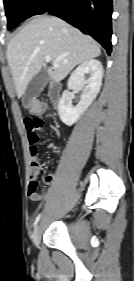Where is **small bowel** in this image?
Segmentation results:
<instances>
[{
  "instance_id": "c3829d8e",
  "label": "small bowel",
  "mask_w": 134,
  "mask_h": 281,
  "mask_svg": "<svg viewBox=\"0 0 134 281\" xmlns=\"http://www.w3.org/2000/svg\"><path fill=\"white\" fill-rule=\"evenodd\" d=\"M24 125L27 130L28 140L30 144V154H31V168H30V179L31 181H37V178L40 174L42 164L37 158V142H38V132L42 131L45 128V123L40 117H26L24 119ZM54 133L59 137V130L52 126L51 127ZM55 143L51 142L49 144L50 148H55ZM56 179V174L51 172L45 176V183L47 185L52 184Z\"/></svg>"
}]
</instances>
